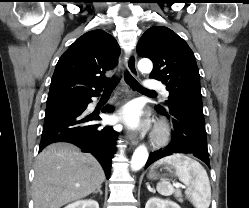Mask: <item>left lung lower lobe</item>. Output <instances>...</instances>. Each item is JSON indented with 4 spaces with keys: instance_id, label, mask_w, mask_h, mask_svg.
<instances>
[{
    "instance_id": "obj_1",
    "label": "left lung lower lobe",
    "mask_w": 249,
    "mask_h": 208,
    "mask_svg": "<svg viewBox=\"0 0 249 208\" xmlns=\"http://www.w3.org/2000/svg\"><path fill=\"white\" fill-rule=\"evenodd\" d=\"M157 110L172 120V138L164 149L150 153L145 168L174 153L193 154L210 167L203 110L180 103Z\"/></svg>"
}]
</instances>
